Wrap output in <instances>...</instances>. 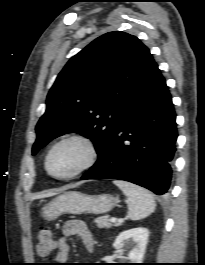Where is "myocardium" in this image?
I'll return each mask as SVG.
<instances>
[{
    "instance_id": "myocardium-1",
    "label": "myocardium",
    "mask_w": 205,
    "mask_h": 265,
    "mask_svg": "<svg viewBox=\"0 0 205 265\" xmlns=\"http://www.w3.org/2000/svg\"><path fill=\"white\" fill-rule=\"evenodd\" d=\"M70 141L78 142L84 146L86 150L85 159L73 172L69 174L66 175L54 174L49 168V158L56 147ZM98 155H99L98 147L95 141L91 137L80 133H72L58 139L48 148L44 157V168L46 173L54 179L71 180L80 176L87 170H89L96 163Z\"/></svg>"
}]
</instances>
